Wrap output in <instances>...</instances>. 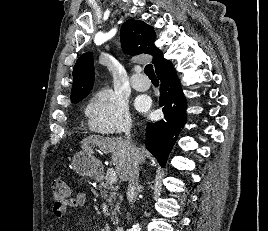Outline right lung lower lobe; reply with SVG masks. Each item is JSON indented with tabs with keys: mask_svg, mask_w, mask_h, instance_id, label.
I'll return each instance as SVG.
<instances>
[{
	"mask_svg": "<svg viewBox=\"0 0 268 231\" xmlns=\"http://www.w3.org/2000/svg\"><path fill=\"white\" fill-rule=\"evenodd\" d=\"M156 73L161 81L160 106L165 118L147 124L146 147L164 167L178 134L185 124L186 100L171 63Z\"/></svg>",
	"mask_w": 268,
	"mask_h": 231,
	"instance_id": "right-lung-lower-lobe-1",
	"label": "right lung lower lobe"
}]
</instances>
